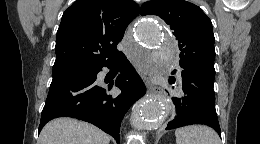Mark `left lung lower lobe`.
Here are the masks:
<instances>
[{
  "instance_id": "0a47b994",
  "label": "left lung lower lobe",
  "mask_w": 260,
  "mask_h": 144,
  "mask_svg": "<svg viewBox=\"0 0 260 144\" xmlns=\"http://www.w3.org/2000/svg\"><path fill=\"white\" fill-rule=\"evenodd\" d=\"M181 77L169 83L176 94L172 97V117L166 130L192 124H204L221 130L215 109L214 79L192 68L181 66Z\"/></svg>"
}]
</instances>
